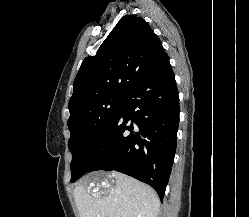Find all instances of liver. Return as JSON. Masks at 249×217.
<instances>
[{
	"instance_id": "obj_1",
	"label": "liver",
	"mask_w": 249,
	"mask_h": 217,
	"mask_svg": "<svg viewBox=\"0 0 249 217\" xmlns=\"http://www.w3.org/2000/svg\"><path fill=\"white\" fill-rule=\"evenodd\" d=\"M96 183L95 192L86 185ZM73 194L80 217H157L160 207L152 188L116 171L87 176Z\"/></svg>"
}]
</instances>
